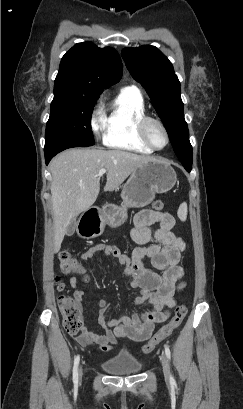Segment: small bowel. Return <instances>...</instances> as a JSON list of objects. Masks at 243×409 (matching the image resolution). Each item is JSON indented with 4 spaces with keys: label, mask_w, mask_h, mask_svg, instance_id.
<instances>
[{
    "label": "small bowel",
    "mask_w": 243,
    "mask_h": 409,
    "mask_svg": "<svg viewBox=\"0 0 243 409\" xmlns=\"http://www.w3.org/2000/svg\"><path fill=\"white\" fill-rule=\"evenodd\" d=\"M158 224L155 228L154 225ZM175 219L169 212L146 209L139 212L134 219L131 230L132 240L139 245L130 255L110 244H97L81 254L82 260H90L97 254L114 257L125 266V275L130 279V286L139 289L140 295L134 299L135 305L148 304L149 309L128 315L121 313L118 317L108 318L103 313L109 301H100L98 324L104 330L99 335L85 327L76 336V342L86 347L95 343L102 351H114L120 338L142 342L148 340L156 323H162L169 317V310L175 302V295L186 287L183 280L184 270L180 258L185 250V242L173 232ZM149 258L155 270L145 267L143 260ZM75 277H71L70 286L74 288L73 297L79 303L83 301V291L77 289Z\"/></svg>",
    "instance_id": "c3829d8e"
}]
</instances>
